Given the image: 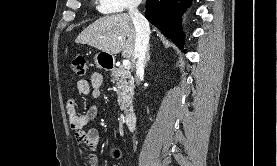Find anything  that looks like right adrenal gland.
Returning a JSON list of instances; mask_svg holds the SVG:
<instances>
[{
  "label": "right adrenal gland",
  "instance_id": "obj_1",
  "mask_svg": "<svg viewBox=\"0 0 277 166\" xmlns=\"http://www.w3.org/2000/svg\"><path fill=\"white\" fill-rule=\"evenodd\" d=\"M149 50H150V45L148 46V52H147L146 62H145L146 65L148 64V62H149V60H150Z\"/></svg>",
  "mask_w": 277,
  "mask_h": 166
}]
</instances>
